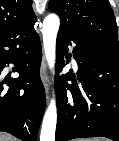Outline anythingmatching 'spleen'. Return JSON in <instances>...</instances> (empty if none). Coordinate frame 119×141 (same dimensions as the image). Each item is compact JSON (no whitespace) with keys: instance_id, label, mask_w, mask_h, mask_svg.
<instances>
[{"instance_id":"1","label":"spleen","mask_w":119,"mask_h":141,"mask_svg":"<svg viewBox=\"0 0 119 141\" xmlns=\"http://www.w3.org/2000/svg\"><path fill=\"white\" fill-rule=\"evenodd\" d=\"M90 141V140H89ZM91 141H99L98 139H94V140H91Z\"/></svg>"}]
</instances>
